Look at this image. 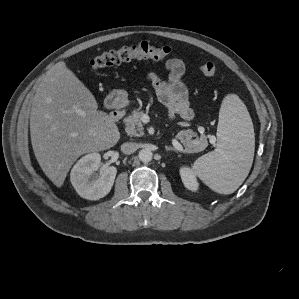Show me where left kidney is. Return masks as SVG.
<instances>
[{"label": "left kidney", "mask_w": 299, "mask_h": 299, "mask_svg": "<svg viewBox=\"0 0 299 299\" xmlns=\"http://www.w3.org/2000/svg\"><path fill=\"white\" fill-rule=\"evenodd\" d=\"M180 175H181L182 182L184 183V186L187 189L191 191L198 190L199 184L192 170H190L187 167H182L180 169Z\"/></svg>", "instance_id": "obj_1"}]
</instances>
